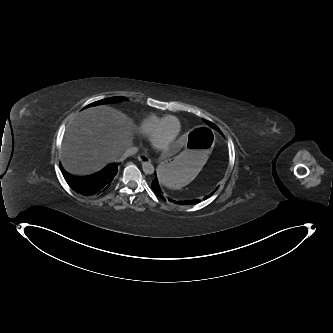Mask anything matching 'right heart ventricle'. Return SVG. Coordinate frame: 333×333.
I'll use <instances>...</instances> for the list:
<instances>
[{
    "label": "right heart ventricle",
    "mask_w": 333,
    "mask_h": 333,
    "mask_svg": "<svg viewBox=\"0 0 333 333\" xmlns=\"http://www.w3.org/2000/svg\"><path fill=\"white\" fill-rule=\"evenodd\" d=\"M169 115H157L151 114L142 119L137 125V132L144 136H151L154 131L157 129L159 124L162 122ZM177 125L180 128V121L179 119L176 120Z\"/></svg>",
    "instance_id": "obj_1"
}]
</instances>
